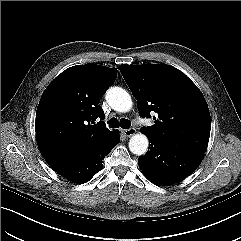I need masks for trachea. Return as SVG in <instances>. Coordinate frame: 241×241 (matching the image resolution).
<instances>
[{"label": "trachea", "instance_id": "obj_1", "mask_svg": "<svg viewBox=\"0 0 241 241\" xmlns=\"http://www.w3.org/2000/svg\"><path fill=\"white\" fill-rule=\"evenodd\" d=\"M110 128H119V126L123 129H129L131 126V122L128 119L122 118L120 121L116 118H111L108 122Z\"/></svg>", "mask_w": 241, "mask_h": 241}]
</instances>
